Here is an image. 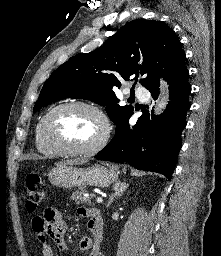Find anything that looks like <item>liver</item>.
<instances>
[{
	"label": "liver",
	"mask_w": 221,
	"mask_h": 256,
	"mask_svg": "<svg viewBox=\"0 0 221 256\" xmlns=\"http://www.w3.org/2000/svg\"><path fill=\"white\" fill-rule=\"evenodd\" d=\"M85 162L86 161L82 160V159H71V160L61 161V162H58L55 164H56V166L62 165V164L78 165V164H83Z\"/></svg>",
	"instance_id": "1"
}]
</instances>
